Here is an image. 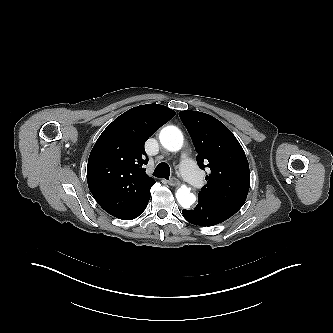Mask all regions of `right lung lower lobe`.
<instances>
[{
    "mask_svg": "<svg viewBox=\"0 0 333 333\" xmlns=\"http://www.w3.org/2000/svg\"><path fill=\"white\" fill-rule=\"evenodd\" d=\"M150 192L140 198L136 204L126 213V215L119 217L122 220H132L137 218L145 210L150 199Z\"/></svg>",
    "mask_w": 333,
    "mask_h": 333,
    "instance_id": "right-lung-lower-lobe-1",
    "label": "right lung lower lobe"
}]
</instances>
